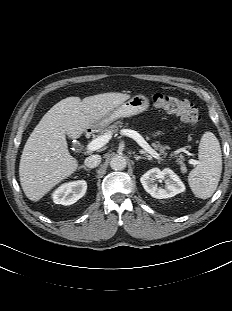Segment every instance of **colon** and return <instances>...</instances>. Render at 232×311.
Instances as JSON below:
<instances>
[{
  "label": "colon",
  "mask_w": 232,
  "mask_h": 311,
  "mask_svg": "<svg viewBox=\"0 0 232 311\" xmlns=\"http://www.w3.org/2000/svg\"><path fill=\"white\" fill-rule=\"evenodd\" d=\"M152 100L157 108L178 115L187 124L196 125L200 121V113L197 106L188 100L161 93L154 94Z\"/></svg>",
  "instance_id": "5ec220e1"
}]
</instances>
